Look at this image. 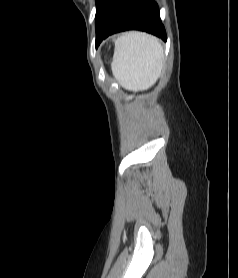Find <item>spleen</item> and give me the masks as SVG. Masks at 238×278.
Listing matches in <instances>:
<instances>
[{
    "mask_svg": "<svg viewBox=\"0 0 238 278\" xmlns=\"http://www.w3.org/2000/svg\"><path fill=\"white\" fill-rule=\"evenodd\" d=\"M163 63V47L156 37L131 31L117 39L112 72L125 89L136 91L151 87L159 78Z\"/></svg>",
    "mask_w": 238,
    "mask_h": 278,
    "instance_id": "1",
    "label": "spleen"
}]
</instances>
